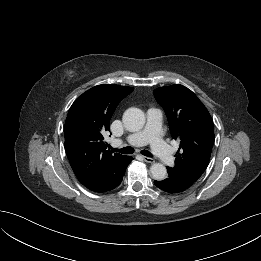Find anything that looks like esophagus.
<instances>
[{"label": "esophagus", "mask_w": 261, "mask_h": 261, "mask_svg": "<svg viewBox=\"0 0 261 261\" xmlns=\"http://www.w3.org/2000/svg\"><path fill=\"white\" fill-rule=\"evenodd\" d=\"M143 160L147 163H154V159L150 157L143 156Z\"/></svg>", "instance_id": "esophagus-1"}]
</instances>
